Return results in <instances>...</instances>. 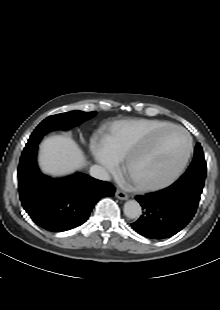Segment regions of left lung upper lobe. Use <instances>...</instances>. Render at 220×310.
<instances>
[{
    "instance_id": "left-lung-upper-lobe-1",
    "label": "left lung upper lobe",
    "mask_w": 220,
    "mask_h": 310,
    "mask_svg": "<svg viewBox=\"0 0 220 310\" xmlns=\"http://www.w3.org/2000/svg\"><path fill=\"white\" fill-rule=\"evenodd\" d=\"M206 177V162L202 147L197 143L194 151V159L187 171L180 177L179 181L188 182L195 181L204 184Z\"/></svg>"
}]
</instances>
